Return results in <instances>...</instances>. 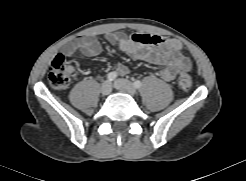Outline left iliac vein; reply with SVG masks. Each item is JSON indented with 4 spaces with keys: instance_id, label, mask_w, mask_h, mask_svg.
<instances>
[{
    "instance_id": "4c4485c4",
    "label": "left iliac vein",
    "mask_w": 246,
    "mask_h": 181,
    "mask_svg": "<svg viewBox=\"0 0 246 181\" xmlns=\"http://www.w3.org/2000/svg\"><path fill=\"white\" fill-rule=\"evenodd\" d=\"M114 87L120 91H124L126 93H128L131 96H135L136 95V89L133 86V84L126 80V79H117L116 81H114Z\"/></svg>"
}]
</instances>
